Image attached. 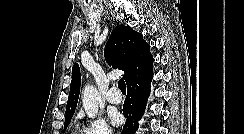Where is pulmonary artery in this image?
Listing matches in <instances>:
<instances>
[{"label": "pulmonary artery", "mask_w": 244, "mask_h": 134, "mask_svg": "<svg viewBox=\"0 0 244 134\" xmlns=\"http://www.w3.org/2000/svg\"><path fill=\"white\" fill-rule=\"evenodd\" d=\"M106 99L111 104H119L122 97L116 87H111L106 94Z\"/></svg>", "instance_id": "obj_1"}]
</instances>
